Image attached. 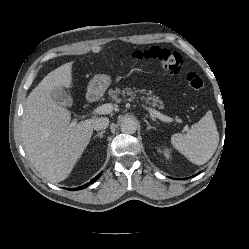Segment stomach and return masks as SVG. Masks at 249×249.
Returning <instances> with one entry per match:
<instances>
[{
    "label": "stomach",
    "mask_w": 249,
    "mask_h": 249,
    "mask_svg": "<svg viewBox=\"0 0 249 249\" xmlns=\"http://www.w3.org/2000/svg\"><path fill=\"white\" fill-rule=\"evenodd\" d=\"M111 77L109 75H96L89 83V92L100 94L103 93L110 85Z\"/></svg>",
    "instance_id": "1"
}]
</instances>
